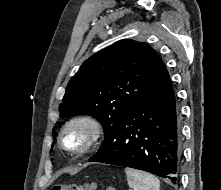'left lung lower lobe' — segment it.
<instances>
[{
  "mask_svg": "<svg viewBox=\"0 0 221 190\" xmlns=\"http://www.w3.org/2000/svg\"><path fill=\"white\" fill-rule=\"evenodd\" d=\"M180 158L179 111L164 69L138 104L106 134L89 161L148 171L175 183Z\"/></svg>",
  "mask_w": 221,
  "mask_h": 190,
  "instance_id": "0a47b994",
  "label": "left lung lower lobe"
}]
</instances>
